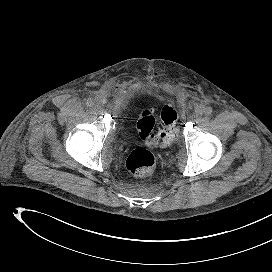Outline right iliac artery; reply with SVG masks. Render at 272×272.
Returning a JSON list of instances; mask_svg holds the SVG:
<instances>
[{
	"instance_id": "82829eb1",
	"label": "right iliac artery",
	"mask_w": 272,
	"mask_h": 272,
	"mask_svg": "<svg viewBox=\"0 0 272 272\" xmlns=\"http://www.w3.org/2000/svg\"><path fill=\"white\" fill-rule=\"evenodd\" d=\"M94 100L92 98H88L86 101L87 106L92 107L94 106Z\"/></svg>"
}]
</instances>
